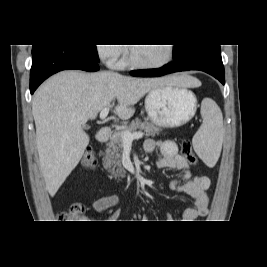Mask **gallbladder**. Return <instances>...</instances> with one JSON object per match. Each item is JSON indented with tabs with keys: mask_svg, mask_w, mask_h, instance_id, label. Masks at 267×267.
<instances>
[{
	"mask_svg": "<svg viewBox=\"0 0 267 267\" xmlns=\"http://www.w3.org/2000/svg\"><path fill=\"white\" fill-rule=\"evenodd\" d=\"M83 128H84L85 130H87V129H89V126H84Z\"/></svg>",
	"mask_w": 267,
	"mask_h": 267,
	"instance_id": "1",
	"label": "gallbladder"
}]
</instances>
